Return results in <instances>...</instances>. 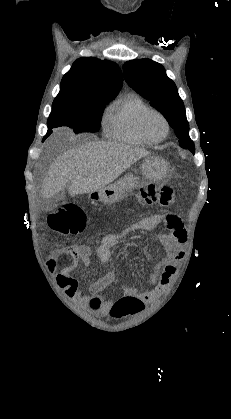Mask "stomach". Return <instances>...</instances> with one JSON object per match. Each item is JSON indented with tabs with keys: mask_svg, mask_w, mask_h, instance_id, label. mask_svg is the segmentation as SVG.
<instances>
[{
	"mask_svg": "<svg viewBox=\"0 0 231 419\" xmlns=\"http://www.w3.org/2000/svg\"><path fill=\"white\" fill-rule=\"evenodd\" d=\"M140 173L146 181L163 180L168 173V163L160 157L146 156L141 164ZM142 183L139 176L126 174L118 181L96 192L90 193L92 202L115 203L125 198L128 193Z\"/></svg>",
	"mask_w": 231,
	"mask_h": 419,
	"instance_id": "obj_1",
	"label": "stomach"
}]
</instances>
